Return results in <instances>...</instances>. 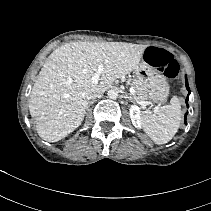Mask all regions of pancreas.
<instances>
[{
    "mask_svg": "<svg viewBox=\"0 0 211 211\" xmlns=\"http://www.w3.org/2000/svg\"><path fill=\"white\" fill-rule=\"evenodd\" d=\"M131 86L135 89V94L139 100H145L148 97L147 87L138 79H133Z\"/></svg>",
    "mask_w": 211,
    "mask_h": 211,
    "instance_id": "1",
    "label": "pancreas"
}]
</instances>
